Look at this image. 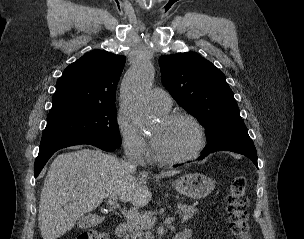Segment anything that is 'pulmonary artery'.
I'll return each instance as SVG.
<instances>
[{
    "label": "pulmonary artery",
    "instance_id": "pulmonary-artery-1",
    "mask_svg": "<svg viewBox=\"0 0 304 239\" xmlns=\"http://www.w3.org/2000/svg\"><path fill=\"white\" fill-rule=\"evenodd\" d=\"M150 103L159 111L167 112L172 106V100L168 92L154 88L149 93Z\"/></svg>",
    "mask_w": 304,
    "mask_h": 239
}]
</instances>
